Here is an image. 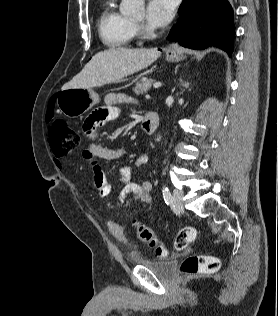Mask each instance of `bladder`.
Returning a JSON list of instances; mask_svg holds the SVG:
<instances>
[{
    "label": "bladder",
    "mask_w": 278,
    "mask_h": 316,
    "mask_svg": "<svg viewBox=\"0 0 278 316\" xmlns=\"http://www.w3.org/2000/svg\"><path fill=\"white\" fill-rule=\"evenodd\" d=\"M133 264L144 267L159 277H170L175 270L173 260H153L146 258H133Z\"/></svg>",
    "instance_id": "bladder-1"
}]
</instances>
